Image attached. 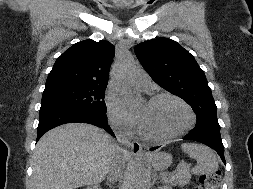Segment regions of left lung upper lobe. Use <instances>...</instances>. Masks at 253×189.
<instances>
[{
  "instance_id": "5c2ea615",
  "label": "left lung upper lobe",
  "mask_w": 253,
  "mask_h": 189,
  "mask_svg": "<svg viewBox=\"0 0 253 189\" xmlns=\"http://www.w3.org/2000/svg\"><path fill=\"white\" fill-rule=\"evenodd\" d=\"M135 54L159 86L192 107L197 115L196 125H219L211 89L192 54L167 38L140 43L135 47Z\"/></svg>"
}]
</instances>
